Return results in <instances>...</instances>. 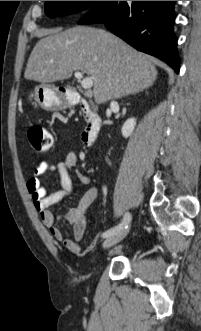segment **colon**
Here are the masks:
<instances>
[{"mask_svg": "<svg viewBox=\"0 0 201 331\" xmlns=\"http://www.w3.org/2000/svg\"><path fill=\"white\" fill-rule=\"evenodd\" d=\"M28 140L37 153L47 152L52 146L51 133L40 124H33L28 129Z\"/></svg>", "mask_w": 201, "mask_h": 331, "instance_id": "1", "label": "colon"}]
</instances>
